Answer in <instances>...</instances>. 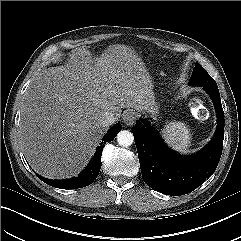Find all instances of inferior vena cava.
Segmentation results:
<instances>
[{
    "label": "inferior vena cava",
    "mask_w": 241,
    "mask_h": 241,
    "mask_svg": "<svg viewBox=\"0 0 241 241\" xmlns=\"http://www.w3.org/2000/svg\"><path fill=\"white\" fill-rule=\"evenodd\" d=\"M116 120L115 115L112 112H106L100 119V123L104 127L112 125Z\"/></svg>",
    "instance_id": "602c4592"
}]
</instances>
